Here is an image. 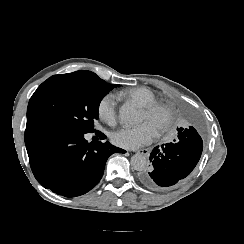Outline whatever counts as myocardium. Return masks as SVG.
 Listing matches in <instances>:
<instances>
[{
	"instance_id": "obj_1",
	"label": "myocardium",
	"mask_w": 244,
	"mask_h": 244,
	"mask_svg": "<svg viewBox=\"0 0 244 244\" xmlns=\"http://www.w3.org/2000/svg\"><path fill=\"white\" fill-rule=\"evenodd\" d=\"M142 109L145 110V111H154V110H157V109L166 110L170 120H169L168 124L165 126V128L161 132H159V134L163 135V134L169 132L172 129L174 115H173V111L171 110V108L169 106L163 105L162 103L155 102V103L143 105Z\"/></svg>"
}]
</instances>
